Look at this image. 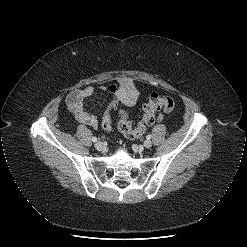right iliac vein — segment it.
<instances>
[{
  "instance_id": "obj_1",
  "label": "right iliac vein",
  "mask_w": 247,
  "mask_h": 247,
  "mask_svg": "<svg viewBox=\"0 0 247 247\" xmlns=\"http://www.w3.org/2000/svg\"><path fill=\"white\" fill-rule=\"evenodd\" d=\"M103 147H104V145H103L102 142L98 141V142L95 143V148H96L97 150H102Z\"/></svg>"
}]
</instances>
